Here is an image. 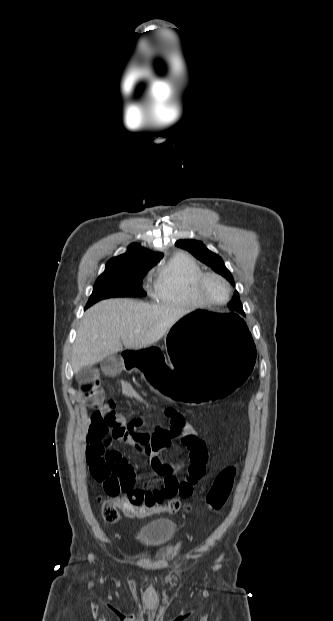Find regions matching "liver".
<instances>
[{"instance_id":"obj_1","label":"liver","mask_w":333,"mask_h":621,"mask_svg":"<svg viewBox=\"0 0 333 621\" xmlns=\"http://www.w3.org/2000/svg\"><path fill=\"white\" fill-rule=\"evenodd\" d=\"M186 310L130 299H108L88 309L71 356L75 372L123 349L146 348L159 341Z\"/></svg>"}]
</instances>
